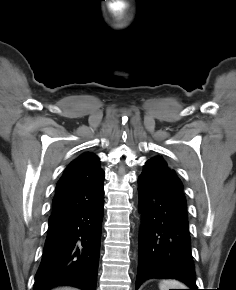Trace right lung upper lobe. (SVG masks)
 Wrapping results in <instances>:
<instances>
[{
  "mask_svg": "<svg viewBox=\"0 0 236 290\" xmlns=\"http://www.w3.org/2000/svg\"><path fill=\"white\" fill-rule=\"evenodd\" d=\"M99 158L84 153L69 164L56 186L49 223L99 200L104 194V171Z\"/></svg>",
  "mask_w": 236,
  "mask_h": 290,
  "instance_id": "obj_1",
  "label": "right lung upper lobe"
}]
</instances>
